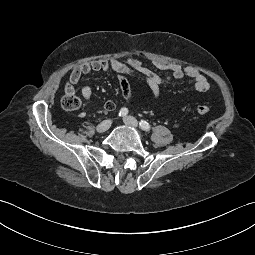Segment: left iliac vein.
Instances as JSON below:
<instances>
[{
    "mask_svg": "<svg viewBox=\"0 0 255 255\" xmlns=\"http://www.w3.org/2000/svg\"><path fill=\"white\" fill-rule=\"evenodd\" d=\"M123 121L126 125L137 128L138 127V121L132 117V116H126L123 118Z\"/></svg>",
    "mask_w": 255,
    "mask_h": 255,
    "instance_id": "4c4485c4",
    "label": "left iliac vein"
}]
</instances>
